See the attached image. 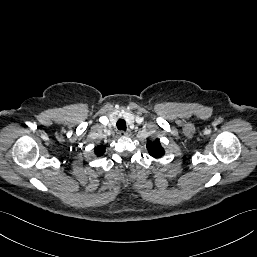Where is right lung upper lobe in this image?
<instances>
[{"mask_svg":"<svg viewBox=\"0 0 257 257\" xmlns=\"http://www.w3.org/2000/svg\"><path fill=\"white\" fill-rule=\"evenodd\" d=\"M94 152H95V154H96L97 156L103 155L104 152H105V146L99 145L98 147H96V148L94 149Z\"/></svg>","mask_w":257,"mask_h":257,"instance_id":"1","label":"right lung upper lobe"}]
</instances>
